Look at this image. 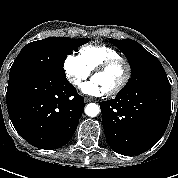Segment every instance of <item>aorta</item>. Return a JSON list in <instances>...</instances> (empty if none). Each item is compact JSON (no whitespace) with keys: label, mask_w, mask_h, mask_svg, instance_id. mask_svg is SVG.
Masks as SVG:
<instances>
[{"label":"aorta","mask_w":178,"mask_h":178,"mask_svg":"<svg viewBox=\"0 0 178 178\" xmlns=\"http://www.w3.org/2000/svg\"><path fill=\"white\" fill-rule=\"evenodd\" d=\"M85 113L89 117H96L100 113V107L98 104L90 103L85 107Z\"/></svg>","instance_id":"obj_1"}]
</instances>
